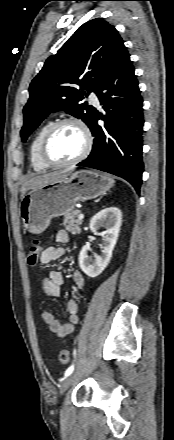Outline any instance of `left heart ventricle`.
Masks as SVG:
<instances>
[{
  "label": "left heart ventricle",
  "mask_w": 174,
  "mask_h": 440,
  "mask_svg": "<svg viewBox=\"0 0 174 440\" xmlns=\"http://www.w3.org/2000/svg\"><path fill=\"white\" fill-rule=\"evenodd\" d=\"M84 146V135L75 124H64L53 134L48 145L51 160L62 163L77 157Z\"/></svg>",
  "instance_id": "left-heart-ventricle-1"
}]
</instances>
